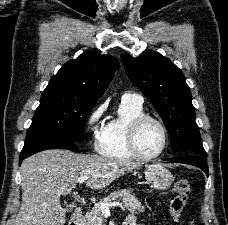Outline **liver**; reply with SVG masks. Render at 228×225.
Returning a JSON list of instances; mask_svg holds the SVG:
<instances>
[{
  "mask_svg": "<svg viewBox=\"0 0 228 225\" xmlns=\"http://www.w3.org/2000/svg\"><path fill=\"white\" fill-rule=\"evenodd\" d=\"M140 163L100 155H75L66 149H50L23 161L21 169L22 205L15 225H65L61 195L75 189L79 177L90 189H104ZM96 177V179H94Z\"/></svg>",
  "mask_w": 228,
  "mask_h": 225,
  "instance_id": "liver-1",
  "label": "liver"
}]
</instances>
